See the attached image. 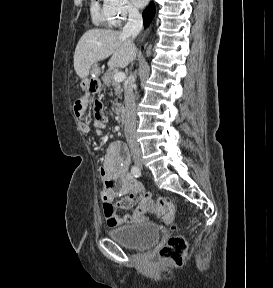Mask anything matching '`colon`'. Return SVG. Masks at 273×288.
Returning a JSON list of instances; mask_svg holds the SVG:
<instances>
[{"label": "colon", "instance_id": "obj_1", "mask_svg": "<svg viewBox=\"0 0 273 288\" xmlns=\"http://www.w3.org/2000/svg\"><path fill=\"white\" fill-rule=\"evenodd\" d=\"M103 107L96 102L93 106V113L101 114ZM75 112L81 122H85V112L80 104L75 105ZM148 211L160 215L165 223H171L175 216V207L168 197H159L156 200H149L145 203ZM187 251L186 239L181 235L171 236L166 244L159 250V257L162 260L170 261L175 266H181Z\"/></svg>", "mask_w": 273, "mask_h": 288}]
</instances>
